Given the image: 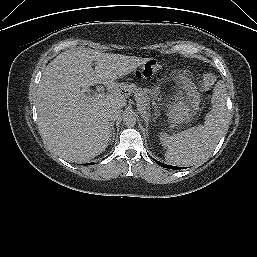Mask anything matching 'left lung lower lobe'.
<instances>
[{
	"label": "left lung lower lobe",
	"instance_id": "0a47b994",
	"mask_svg": "<svg viewBox=\"0 0 257 257\" xmlns=\"http://www.w3.org/2000/svg\"><path fill=\"white\" fill-rule=\"evenodd\" d=\"M160 166L164 167V168H168V169H181L182 167H176V166H170V165H166V164H163L159 161H156Z\"/></svg>",
	"mask_w": 257,
	"mask_h": 257
}]
</instances>
